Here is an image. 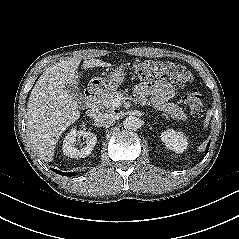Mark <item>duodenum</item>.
<instances>
[{
    "instance_id": "duodenum-1",
    "label": "duodenum",
    "mask_w": 239,
    "mask_h": 239,
    "mask_svg": "<svg viewBox=\"0 0 239 239\" xmlns=\"http://www.w3.org/2000/svg\"><path fill=\"white\" fill-rule=\"evenodd\" d=\"M85 100L87 104L86 114L89 117H95L99 114L98 92L95 88H88L85 91Z\"/></svg>"
}]
</instances>
